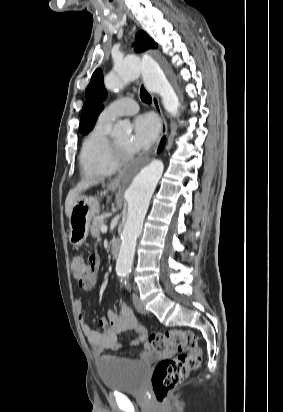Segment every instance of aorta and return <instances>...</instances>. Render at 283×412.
Listing matches in <instances>:
<instances>
[{"label":"aorta","mask_w":283,"mask_h":412,"mask_svg":"<svg viewBox=\"0 0 283 412\" xmlns=\"http://www.w3.org/2000/svg\"><path fill=\"white\" fill-rule=\"evenodd\" d=\"M139 77L143 78L149 90L162 97L164 108L175 116L179 107L178 97L160 64L149 55L124 59L116 71L105 78L104 84L107 89L115 90ZM129 129L130 124L121 121L114 127L111 135L118 136ZM163 168L160 160H153L139 169L128 172L123 179L122 189L128 208L116 262V273L120 277L128 275L131 271L137 238L142 233L143 221Z\"/></svg>","instance_id":"obj_1"}]
</instances>
